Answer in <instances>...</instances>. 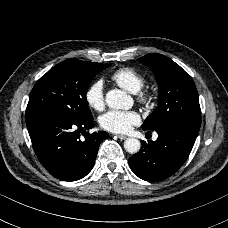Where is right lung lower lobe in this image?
Listing matches in <instances>:
<instances>
[{
  "instance_id": "98d812e1",
  "label": "right lung lower lobe",
  "mask_w": 228,
  "mask_h": 228,
  "mask_svg": "<svg viewBox=\"0 0 228 228\" xmlns=\"http://www.w3.org/2000/svg\"><path fill=\"white\" fill-rule=\"evenodd\" d=\"M33 149L46 170L63 181H76L94 166L104 131L86 133L93 118L76 120L61 114L44 113L26 118ZM85 139H80V134Z\"/></svg>"
}]
</instances>
